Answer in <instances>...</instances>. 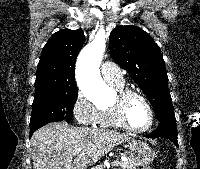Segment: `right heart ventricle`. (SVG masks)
Returning <instances> with one entry per match:
<instances>
[{
    "label": "right heart ventricle",
    "mask_w": 200,
    "mask_h": 169,
    "mask_svg": "<svg viewBox=\"0 0 200 169\" xmlns=\"http://www.w3.org/2000/svg\"><path fill=\"white\" fill-rule=\"evenodd\" d=\"M111 85L118 91L125 89L124 82L112 83ZM96 125L99 127L124 129L123 125L118 120L114 105L100 109Z\"/></svg>",
    "instance_id": "e07e8e85"
}]
</instances>
